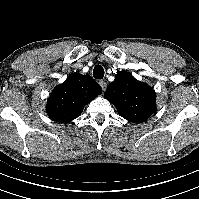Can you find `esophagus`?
Masks as SVG:
<instances>
[{
	"instance_id": "esophagus-1",
	"label": "esophagus",
	"mask_w": 199,
	"mask_h": 199,
	"mask_svg": "<svg viewBox=\"0 0 199 199\" xmlns=\"http://www.w3.org/2000/svg\"><path fill=\"white\" fill-rule=\"evenodd\" d=\"M99 84H100L102 90L105 91L107 88V83L104 80H100Z\"/></svg>"
}]
</instances>
